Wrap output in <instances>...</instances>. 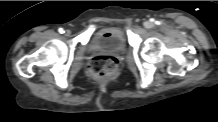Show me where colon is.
<instances>
[{
    "mask_svg": "<svg viewBox=\"0 0 218 122\" xmlns=\"http://www.w3.org/2000/svg\"><path fill=\"white\" fill-rule=\"evenodd\" d=\"M119 68V61L110 55L94 57L88 67L89 76L96 81H103L114 76Z\"/></svg>",
    "mask_w": 218,
    "mask_h": 122,
    "instance_id": "1",
    "label": "colon"
}]
</instances>
